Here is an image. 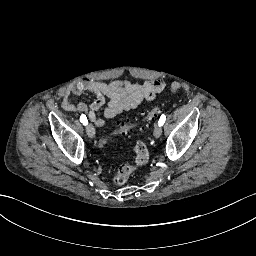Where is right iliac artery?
<instances>
[{
  "label": "right iliac artery",
  "mask_w": 256,
  "mask_h": 256,
  "mask_svg": "<svg viewBox=\"0 0 256 256\" xmlns=\"http://www.w3.org/2000/svg\"><path fill=\"white\" fill-rule=\"evenodd\" d=\"M80 121H81V123H83V125H87L88 124L87 117L84 114L81 115Z\"/></svg>",
  "instance_id": "right-iliac-artery-1"
}]
</instances>
